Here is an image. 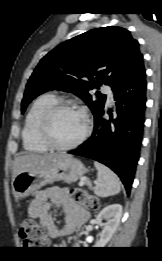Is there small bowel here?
Listing matches in <instances>:
<instances>
[{"label": "small bowel", "instance_id": "c3829d8e", "mask_svg": "<svg viewBox=\"0 0 162 261\" xmlns=\"http://www.w3.org/2000/svg\"><path fill=\"white\" fill-rule=\"evenodd\" d=\"M52 208H61L67 218V230H77L80 223L75 219V214L81 212L69 196L65 188H51L37 192L34 200L30 203L28 214L30 217L40 221L43 227L47 229L50 235L57 234L51 210Z\"/></svg>", "mask_w": 162, "mask_h": 261}]
</instances>
